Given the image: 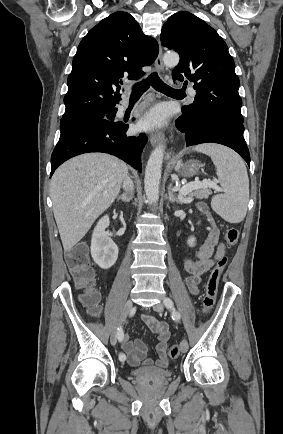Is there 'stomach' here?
I'll return each instance as SVG.
<instances>
[{"mask_svg": "<svg viewBox=\"0 0 283 434\" xmlns=\"http://www.w3.org/2000/svg\"><path fill=\"white\" fill-rule=\"evenodd\" d=\"M200 168V164L195 161H190L186 164H181L179 167V173L185 177H191L197 173Z\"/></svg>", "mask_w": 283, "mask_h": 434, "instance_id": "0dacf381", "label": "stomach"}]
</instances>
